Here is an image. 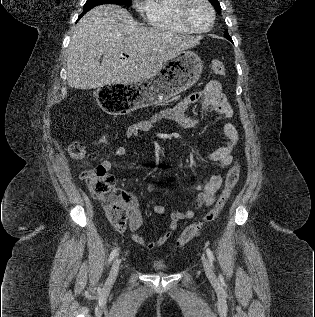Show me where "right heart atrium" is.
Returning <instances> with one entry per match:
<instances>
[{
    "mask_svg": "<svg viewBox=\"0 0 315 317\" xmlns=\"http://www.w3.org/2000/svg\"><path fill=\"white\" fill-rule=\"evenodd\" d=\"M149 2H150V0H133L135 7L140 12H146L148 5H149Z\"/></svg>",
    "mask_w": 315,
    "mask_h": 317,
    "instance_id": "obj_1",
    "label": "right heart atrium"
}]
</instances>
